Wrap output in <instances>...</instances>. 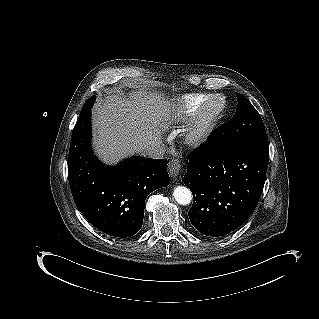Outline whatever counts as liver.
<instances>
[{"instance_id":"liver-1","label":"liver","mask_w":319,"mask_h":319,"mask_svg":"<svg viewBox=\"0 0 319 319\" xmlns=\"http://www.w3.org/2000/svg\"><path fill=\"white\" fill-rule=\"evenodd\" d=\"M175 105L160 95L132 91L110 92L92 110L93 145L106 164L141 154L145 145L162 143L163 129L175 115Z\"/></svg>"}]
</instances>
